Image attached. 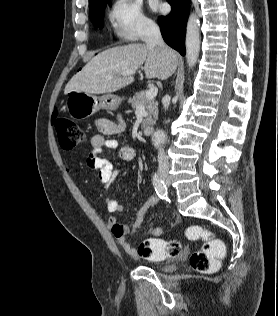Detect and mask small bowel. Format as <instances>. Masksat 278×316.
<instances>
[{"label": "small bowel", "mask_w": 278, "mask_h": 316, "mask_svg": "<svg viewBox=\"0 0 278 316\" xmlns=\"http://www.w3.org/2000/svg\"><path fill=\"white\" fill-rule=\"evenodd\" d=\"M96 127L99 133L94 134L90 139L92 151L85 158L86 166L97 172L98 179L105 186L104 196L107 211L111 214L108 217L107 225L115 237L117 243L123 250L131 256H140L138 249L133 247L127 240V236L137 232L143 222L144 216L150 207L159 203V197L152 194L144 202L142 207L136 214L132 227L118 223L115 213L123 211V205L108 194L107 187L117 178L119 171L114 168L113 164L105 158L100 157V154L105 149H118L120 159L126 162L133 161L136 158V149L128 145H120L116 139L111 138L113 135L122 133L126 128V123L119 114L116 121L107 118H99L96 120ZM175 222L179 221L177 216H174ZM163 233L162 226H156L149 230L151 236L157 237Z\"/></svg>", "instance_id": "1"}]
</instances>
